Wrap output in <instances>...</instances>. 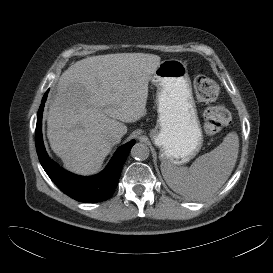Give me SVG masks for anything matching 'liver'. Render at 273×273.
<instances>
[{
    "label": "liver",
    "mask_w": 273,
    "mask_h": 273,
    "mask_svg": "<svg viewBox=\"0 0 273 273\" xmlns=\"http://www.w3.org/2000/svg\"><path fill=\"white\" fill-rule=\"evenodd\" d=\"M161 58L147 53L91 56L71 65L50 103L47 137L66 168L80 175L96 173L113 143L127 133L124 123L146 114L148 84Z\"/></svg>",
    "instance_id": "6515ba94"
}]
</instances>
